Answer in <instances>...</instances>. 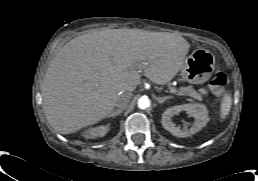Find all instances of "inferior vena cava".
Returning <instances> with one entry per match:
<instances>
[{"instance_id": "inferior-vena-cava-1", "label": "inferior vena cava", "mask_w": 258, "mask_h": 181, "mask_svg": "<svg viewBox=\"0 0 258 181\" xmlns=\"http://www.w3.org/2000/svg\"><path fill=\"white\" fill-rule=\"evenodd\" d=\"M132 94L131 93H123L120 96H118L115 106L119 109H124L128 105L130 99H131Z\"/></svg>"}]
</instances>
